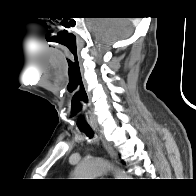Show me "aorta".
I'll return each instance as SVG.
<instances>
[{
  "instance_id": "762f6f07",
  "label": "aorta",
  "mask_w": 196,
  "mask_h": 196,
  "mask_svg": "<svg viewBox=\"0 0 196 196\" xmlns=\"http://www.w3.org/2000/svg\"><path fill=\"white\" fill-rule=\"evenodd\" d=\"M110 164L102 159L84 160L79 163L74 171L75 179H95L110 170ZM117 179H128V175L123 170H116Z\"/></svg>"
}]
</instances>
